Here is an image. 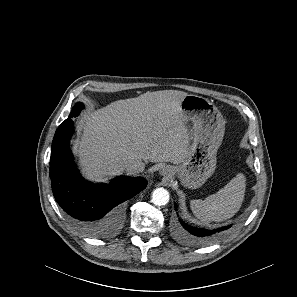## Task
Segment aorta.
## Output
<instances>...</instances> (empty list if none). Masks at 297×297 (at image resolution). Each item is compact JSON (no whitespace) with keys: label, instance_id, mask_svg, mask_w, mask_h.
<instances>
[{"label":"aorta","instance_id":"aorta-1","mask_svg":"<svg viewBox=\"0 0 297 297\" xmlns=\"http://www.w3.org/2000/svg\"><path fill=\"white\" fill-rule=\"evenodd\" d=\"M152 202L156 206H164L169 202V193L164 188H156L152 194Z\"/></svg>","mask_w":297,"mask_h":297}]
</instances>
